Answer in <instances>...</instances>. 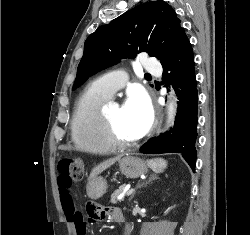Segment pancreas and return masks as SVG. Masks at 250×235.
<instances>
[{
    "instance_id": "cf45deb5",
    "label": "pancreas",
    "mask_w": 250,
    "mask_h": 235,
    "mask_svg": "<svg viewBox=\"0 0 250 235\" xmlns=\"http://www.w3.org/2000/svg\"><path fill=\"white\" fill-rule=\"evenodd\" d=\"M123 190H124V186H120L117 190H115L111 194L110 202L112 204H117V203L121 202V200H118V196L122 193Z\"/></svg>"
}]
</instances>
